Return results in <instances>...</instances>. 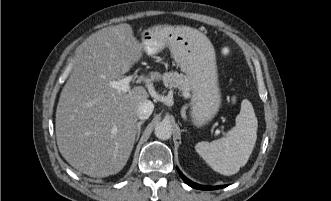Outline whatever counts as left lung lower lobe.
<instances>
[{"label":"left lung lower lobe","mask_w":331,"mask_h":201,"mask_svg":"<svg viewBox=\"0 0 331 201\" xmlns=\"http://www.w3.org/2000/svg\"><path fill=\"white\" fill-rule=\"evenodd\" d=\"M181 178L191 187L195 188V189H200V190H215V189H220V188H223V187H226L225 185L223 186H203V185H199L197 183H194L192 182L191 180H189L188 178H186L181 172L179 169H177Z\"/></svg>","instance_id":"obj_1"}]
</instances>
